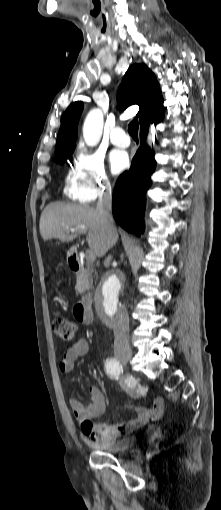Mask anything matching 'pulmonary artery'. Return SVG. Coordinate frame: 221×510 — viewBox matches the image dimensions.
Wrapping results in <instances>:
<instances>
[{
  "mask_svg": "<svg viewBox=\"0 0 221 510\" xmlns=\"http://www.w3.org/2000/svg\"><path fill=\"white\" fill-rule=\"evenodd\" d=\"M111 141L115 146L126 148L130 145L127 132L120 126H115L111 131Z\"/></svg>",
  "mask_w": 221,
  "mask_h": 510,
  "instance_id": "obj_1",
  "label": "pulmonary artery"
}]
</instances>
